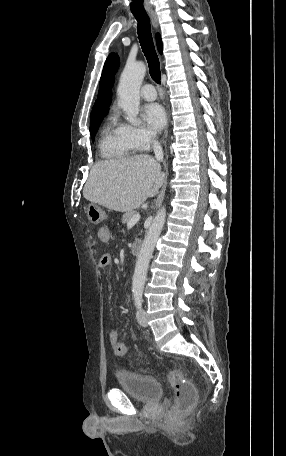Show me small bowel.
Returning a JSON list of instances; mask_svg holds the SVG:
<instances>
[{
  "label": "small bowel",
  "mask_w": 286,
  "mask_h": 456,
  "mask_svg": "<svg viewBox=\"0 0 286 456\" xmlns=\"http://www.w3.org/2000/svg\"><path fill=\"white\" fill-rule=\"evenodd\" d=\"M98 237L103 242H108L110 240V231L107 227H100L98 230ZM112 262V256L109 253H106L101 256L99 260V267L106 268ZM110 343L114 349V352L117 355H125L123 353L124 348H128L122 341H120L119 333L117 331H111L109 334Z\"/></svg>",
  "instance_id": "c3829d8e"
}]
</instances>
